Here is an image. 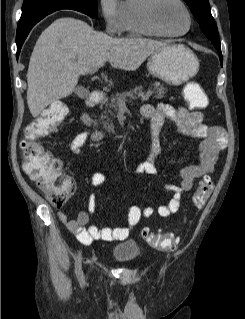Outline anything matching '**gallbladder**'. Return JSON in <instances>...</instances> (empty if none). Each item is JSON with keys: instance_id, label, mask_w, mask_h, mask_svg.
<instances>
[{"instance_id": "gallbladder-1", "label": "gallbladder", "mask_w": 245, "mask_h": 319, "mask_svg": "<svg viewBox=\"0 0 245 319\" xmlns=\"http://www.w3.org/2000/svg\"><path fill=\"white\" fill-rule=\"evenodd\" d=\"M75 93H76V95H78L79 97H85V96H87V94H88L87 90H86L84 87H82V86L77 87V88L75 89Z\"/></svg>"}]
</instances>
